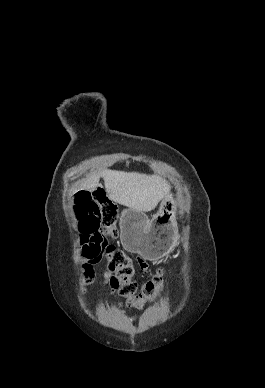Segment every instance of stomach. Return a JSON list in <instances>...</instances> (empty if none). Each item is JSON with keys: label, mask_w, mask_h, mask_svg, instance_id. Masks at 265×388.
Segmentation results:
<instances>
[{"label": "stomach", "mask_w": 265, "mask_h": 388, "mask_svg": "<svg viewBox=\"0 0 265 388\" xmlns=\"http://www.w3.org/2000/svg\"><path fill=\"white\" fill-rule=\"evenodd\" d=\"M172 195L164 199L150 220L143 212L125 209L120 217V241L124 249L148 260H158L176 244L178 227Z\"/></svg>", "instance_id": "stomach-1"}]
</instances>
